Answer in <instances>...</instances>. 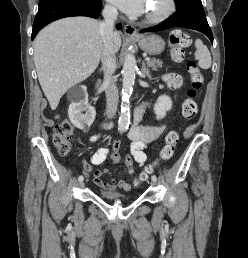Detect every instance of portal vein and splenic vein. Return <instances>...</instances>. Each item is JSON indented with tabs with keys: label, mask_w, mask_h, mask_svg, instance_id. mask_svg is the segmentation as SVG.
<instances>
[{
	"label": "portal vein and splenic vein",
	"mask_w": 248,
	"mask_h": 258,
	"mask_svg": "<svg viewBox=\"0 0 248 258\" xmlns=\"http://www.w3.org/2000/svg\"><path fill=\"white\" fill-rule=\"evenodd\" d=\"M145 60L148 62V61H150V58H149V57H146Z\"/></svg>",
	"instance_id": "portal-vein-and-splenic-vein-1"
}]
</instances>
